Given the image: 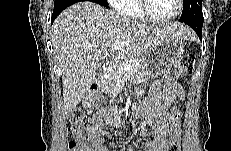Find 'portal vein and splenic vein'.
I'll list each match as a JSON object with an SVG mask.
<instances>
[{
  "instance_id": "1",
  "label": "portal vein and splenic vein",
  "mask_w": 231,
  "mask_h": 151,
  "mask_svg": "<svg viewBox=\"0 0 231 151\" xmlns=\"http://www.w3.org/2000/svg\"><path fill=\"white\" fill-rule=\"evenodd\" d=\"M122 45H123L122 43L114 44V45H112L111 50H119L122 47ZM131 66H132V63H125V64L118 67L117 73H124L125 71L130 69Z\"/></svg>"
}]
</instances>
